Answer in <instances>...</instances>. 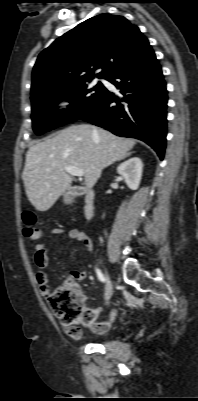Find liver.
Segmentation results:
<instances>
[{"instance_id":"6515ba94","label":"liver","mask_w":198,"mask_h":401,"mask_svg":"<svg viewBox=\"0 0 198 401\" xmlns=\"http://www.w3.org/2000/svg\"><path fill=\"white\" fill-rule=\"evenodd\" d=\"M135 144L134 139L81 124L31 146L22 174L29 201L39 211L50 209L71 186L72 177L65 170L67 166L82 169L86 186L92 188L102 170L125 158Z\"/></svg>"}]
</instances>
